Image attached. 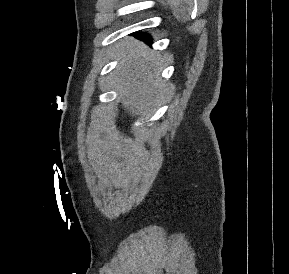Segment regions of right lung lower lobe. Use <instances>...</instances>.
Masks as SVG:
<instances>
[{
  "instance_id": "right-lung-lower-lobe-1",
  "label": "right lung lower lobe",
  "mask_w": 289,
  "mask_h": 274,
  "mask_svg": "<svg viewBox=\"0 0 289 274\" xmlns=\"http://www.w3.org/2000/svg\"><path fill=\"white\" fill-rule=\"evenodd\" d=\"M137 36L141 37V38H144L145 40L149 41L151 40L150 36L146 33H138L136 34Z\"/></svg>"
}]
</instances>
